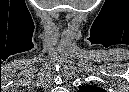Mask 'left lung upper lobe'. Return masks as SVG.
Listing matches in <instances>:
<instances>
[{"label":"left lung upper lobe","instance_id":"5c2ea615","mask_svg":"<svg viewBox=\"0 0 129 92\" xmlns=\"http://www.w3.org/2000/svg\"><path fill=\"white\" fill-rule=\"evenodd\" d=\"M79 91L80 92H105L104 89L98 88L95 86H85V87H82Z\"/></svg>","mask_w":129,"mask_h":92}]
</instances>
